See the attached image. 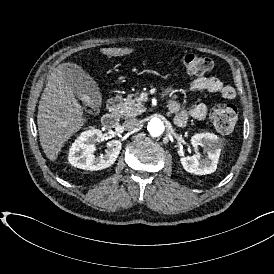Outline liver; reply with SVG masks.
Masks as SVG:
<instances>
[{
    "label": "liver",
    "instance_id": "6515ba94",
    "mask_svg": "<svg viewBox=\"0 0 274 274\" xmlns=\"http://www.w3.org/2000/svg\"><path fill=\"white\" fill-rule=\"evenodd\" d=\"M132 48H101L107 56L131 54ZM82 70L76 64L63 63L54 68L41 95L37 124L40 145L46 157L55 161L64 143L78 132L87 121L83 108L71 88L73 77Z\"/></svg>",
    "mask_w": 274,
    "mask_h": 274
}]
</instances>
